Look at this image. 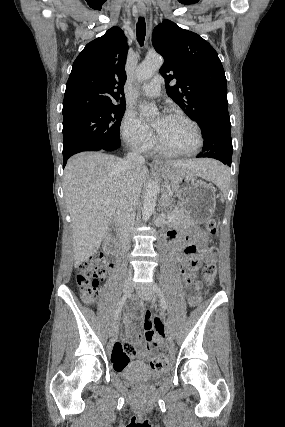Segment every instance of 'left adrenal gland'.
Masks as SVG:
<instances>
[{
    "instance_id": "obj_1",
    "label": "left adrenal gland",
    "mask_w": 285,
    "mask_h": 427,
    "mask_svg": "<svg viewBox=\"0 0 285 427\" xmlns=\"http://www.w3.org/2000/svg\"><path fill=\"white\" fill-rule=\"evenodd\" d=\"M167 201H169V198L167 197V195H164L163 197H162V204H161V207H164L165 208V206L167 205L166 203H167Z\"/></svg>"
}]
</instances>
